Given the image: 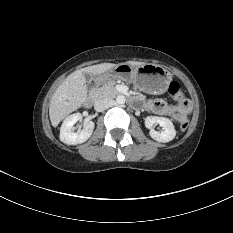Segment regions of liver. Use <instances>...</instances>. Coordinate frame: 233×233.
Segmentation results:
<instances>
[{
    "instance_id": "obj_1",
    "label": "liver",
    "mask_w": 233,
    "mask_h": 233,
    "mask_svg": "<svg viewBox=\"0 0 233 233\" xmlns=\"http://www.w3.org/2000/svg\"><path fill=\"white\" fill-rule=\"evenodd\" d=\"M133 66H140L143 62H131ZM113 63H101L88 66L71 73L56 89L49 105V116L53 127L70 113L77 110L87 99L85 74L98 75L115 67Z\"/></svg>"
}]
</instances>
